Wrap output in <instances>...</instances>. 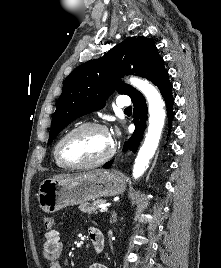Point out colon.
<instances>
[{
	"instance_id": "obj_1",
	"label": "colon",
	"mask_w": 221,
	"mask_h": 268,
	"mask_svg": "<svg viewBox=\"0 0 221 268\" xmlns=\"http://www.w3.org/2000/svg\"><path fill=\"white\" fill-rule=\"evenodd\" d=\"M42 222L46 230H50L54 228L55 219L53 216L47 215L42 218Z\"/></svg>"
}]
</instances>
